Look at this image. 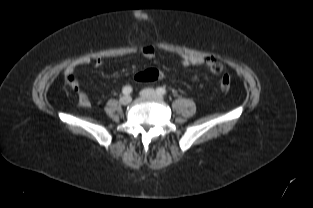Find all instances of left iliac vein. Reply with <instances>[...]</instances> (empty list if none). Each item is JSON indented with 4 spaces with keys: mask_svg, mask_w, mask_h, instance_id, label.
Returning <instances> with one entry per match:
<instances>
[{
    "mask_svg": "<svg viewBox=\"0 0 313 208\" xmlns=\"http://www.w3.org/2000/svg\"><path fill=\"white\" fill-rule=\"evenodd\" d=\"M140 94L143 98L163 100V97L155 92L153 89H144L141 91Z\"/></svg>",
    "mask_w": 313,
    "mask_h": 208,
    "instance_id": "obj_1",
    "label": "left iliac vein"
}]
</instances>
